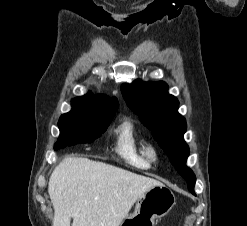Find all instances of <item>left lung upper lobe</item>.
I'll return each instance as SVG.
<instances>
[{
  "label": "left lung upper lobe",
  "mask_w": 247,
  "mask_h": 226,
  "mask_svg": "<svg viewBox=\"0 0 247 226\" xmlns=\"http://www.w3.org/2000/svg\"><path fill=\"white\" fill-rule=\"evenodd\" d=\"M165 82L135 80L122 84L121 92L127 105L139 115L140 121L151 131L152 136L170 158L179 174L188 183L193 182L192 172L186 166L189 147L184 141L186 121L178 113L179 102L170 95Z\"/></svg>",
  "instance_id": "left-lung-upper-lobe-1"
}]
</instances>
